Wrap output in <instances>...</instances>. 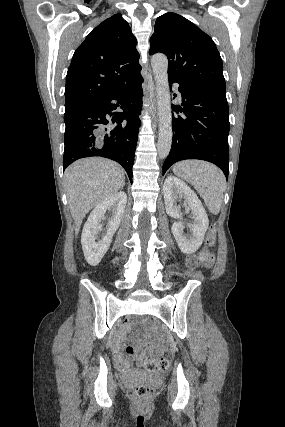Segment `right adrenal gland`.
<instances>
[{
    "label": "right adrenal gland",
    "instance_id": "obj_1",
    "mask_svg": "<svg viewBox=\"0 0 285 427\" xmlns=\"http://www.w3.org/2000/svg\"><path fill=\"white\" fill-rule=\"evenodd\" d=\"M124 185H125V183H123V185L121 186V190L123 189Z\"/></svg>",
    "mask_w": 285,
    "mask_h": 427
}]
</instances>
